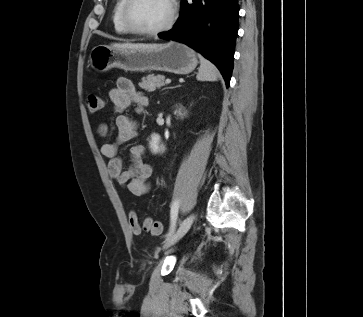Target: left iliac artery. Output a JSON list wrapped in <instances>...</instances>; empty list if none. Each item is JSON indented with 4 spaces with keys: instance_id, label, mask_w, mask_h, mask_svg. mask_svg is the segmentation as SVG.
Wrapping results in <instances>:
<instances>
[{
    "instance_id": "44dca946",
    "label": "left iliac artery",
    "mask_w": 363,
    "mask_h": 317,
    "mask_svg": "<svg viewBox=\"0 0 363 317\" xmlns=\"http://www.w3.org/2000/svg\"><path fill=\"white\" fill-rule=\"evenodd\" d=\"M178 209H179V201L176 200L172 203V206H171V227H170V231H169L167 238H169L175 230L177 216H178Z\"/></svg>"
}]
</instances>
